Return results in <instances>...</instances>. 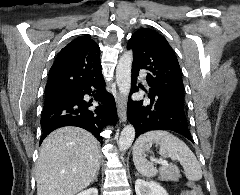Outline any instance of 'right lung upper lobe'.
Wrapping results in <instances>:
<instances>
[{"label": "right lung upper lobe", "instance_id": "obj_1", "mask_svg": "<svg viewBox=\"0 0 240 195\" xmlns=\"http://www.w3.org/2000/svg\"><path fill=\"white\" fill-rule=\"evenodd\" d=\"M100 48L89 37H79L64 47L52 65L45 93L77 88L102 77Z\"/></svg>", "mask_w": 240, "mask_h": 195}]
</instances>
